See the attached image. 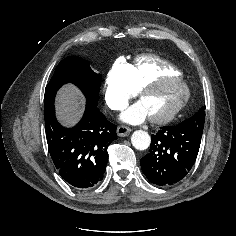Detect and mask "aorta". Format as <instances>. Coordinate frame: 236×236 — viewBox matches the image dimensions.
Masks as SVG:
<instances>
[{"mask_svg":"<svg viewBox=\"0 0 236 236\" xmlns=\"http://www.w3.org/2000/svg\"><path fill=\"white\" fill-rule=\"evenodd\" d=\"M150 142V135L143 130H137L131 136V143L138 150H146L150 146Z\"/></svg>","mask_w":236,"mask_h":236,"instance_id":"762f6f07","label":"aorta"}]
</instances>
